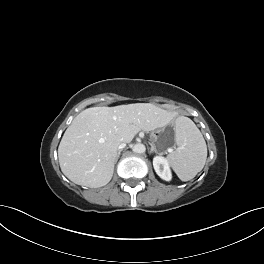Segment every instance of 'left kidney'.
Segmentation results:
<instances>
[{"instance_id": "obj_1", "label": "left kidney", "mask_w": 264, "mask_h": 264, "mask_svg": "<svg viewBox=\"0 0 264 264\" xmlns=\"http://www.w3.org/2000/svg\"><path fill=\"white\" fill-rule=\"evenodd\" d=\"M153 167L155 172L161 177L163 180L170 181L172 178V174L170 171V167L166 158L162 156H156L153 158Z\"/></svg>"}]
</instances>
